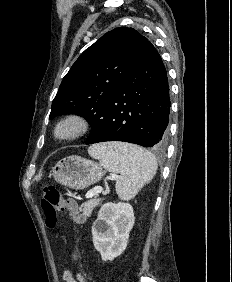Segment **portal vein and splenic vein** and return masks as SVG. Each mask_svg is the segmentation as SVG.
Masks as SVG:
<instances>
[{
  "instance_id": "obj_1",
  "label": "portal vein and splenic vein",
  "mask_w": 232,
  "mask_h": 282,
  "mask_svg": "<svg viewBox=\"0 0 232 282\" xmlns=\"http://www.w3.org/2000/svg\"><path fill=\"white\" fill-rule=\"evenodd\" d=\"M116 177H117L116 175L112 176V178H116ZM102 191H103V188L100 186H97L94 189L88 191L85 196L86 198H92L93 196L100 194Z\"/></svg>"
}]
</instances>
